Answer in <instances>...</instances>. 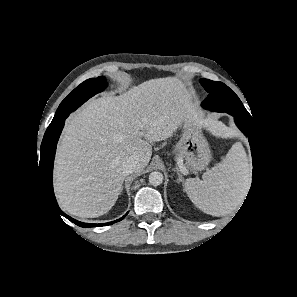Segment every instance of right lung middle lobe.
Returning <instances> with one entry per match:
<instances>
[{"label": "right lung middle lobe", "instance_id": "1", "mask_svg": "<svg viewBox=\"0 0 297 297\" xmlns=\"http://www.w3.org/2000/svg\"><path fill=\"white\" fill-rule=\"evenodd\" d=\"M106 87L107 82L103 76L91 78L81 83L61 102L47 129L54 128L63 118H67L71 112Z\"/></svg>", "mask_w": 297, "mask_h": 297}]
</instances>
